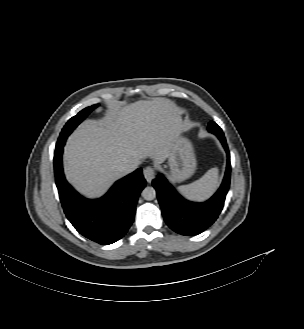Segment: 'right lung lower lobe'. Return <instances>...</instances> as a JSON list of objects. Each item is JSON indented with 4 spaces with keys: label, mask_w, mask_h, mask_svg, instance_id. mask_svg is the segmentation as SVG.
<instances>
[{
    "label": "right lung lower lobe",
    "mask_w": 304,
    "mask_h": 329,
    "mask_svg": "<svg viewBox=\"0 0 304 329\" xmlns=\"http://www.w3.org/2000/svg\"><path fill=\"white\" fill-rule=\"evenodd\" d=\"M65 142L54 153L55 182L68 220L86 238L102 245L121 239L130 228L136 204L146 180L139 168L117 181L100 199L89 200L79 195L66 181L62 168Z\"/></svg>",
    "instance_id": "right-lung-lower-lobe-1"
}]
</instances>
